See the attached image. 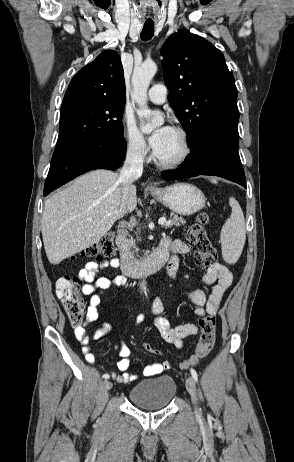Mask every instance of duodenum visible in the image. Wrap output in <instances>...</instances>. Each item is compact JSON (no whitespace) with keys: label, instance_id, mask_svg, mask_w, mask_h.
<instances>
[{"label":"duodenum","instance_id":"duodenum-1","mask_svg":"<svg viewBox=\"0 0 294 462\" xmlns=\"http://www.w3.org/2000/svg\"><path fill=\"white\" fill-rule=\"evenodd\" d=\"M127 235V228L121 227L117 232L115 240L120 251V267L126 276L136 277L153 273L164 266L169 255V247L165 243H161L157 246L147 258L134 260L128 253Z\"/></svg>","mask_w":294,"mask_h":462}]
</instances>
